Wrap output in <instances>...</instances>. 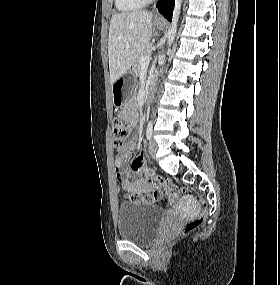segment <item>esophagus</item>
I'll list each match as a JSON object with an SVG mask.
<instances>
[{
	"label": "esophagus",
	"mask_w": 280,
	"mask_h": 285,
	"mask_svg": "<svg viewBox=\"0 0 280 285\" xmlns=\"http://www.w3.org/2000/svg\"><path fill=\"white\" fill-rule=\"evenodd\" d=\"M154 14H155V16H156L157 18H160V17H161L160 14L158 13V11H157L156 9H154Z\"/></svg>",
	"instance_id": "1"
}]
</instances>
